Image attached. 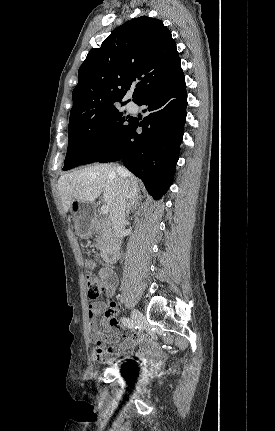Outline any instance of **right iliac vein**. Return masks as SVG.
Here are the masks:
<instances>
[{"mask_svg": "<svg viewBox=\"0 0 275 431\" xmlns=\"http://www.w3.org/2000/svg\"><path fill=\"white\" fill-rule=\"evenodd\" d=\"M141 317H142V314L138 310L134 309L131 312V318L134 323H137Z\"/></svg>", "mask_w": 275, "mask_h": 431, "instance_id": "obj_1", "label": "right iliac vein"}]
</instances>
